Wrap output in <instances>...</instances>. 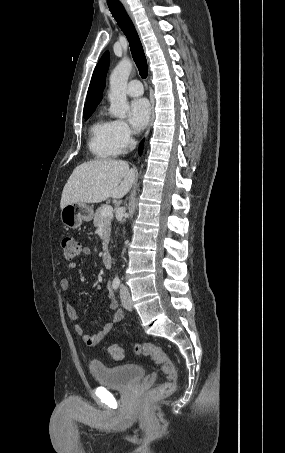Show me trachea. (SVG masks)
<instances>
[{
    "mask_svg": "<svg viewBox=\"0 0 285 453\" xmlns=\"http://www.w3.org/2000/svg\"><path fill=\"white\" fill-rule=\"evenodd\" d=\"M107 4L112 16L128 39L132 57L139 70L140 76L145 79L148 74L147 60L134 24L120 1L107 0Z\"/></svg>",
    "mask_w": 285,
    "mask_h": 453,
    "instance_id": "3493384b",
    "label": "trachea"
}]
</instances>
